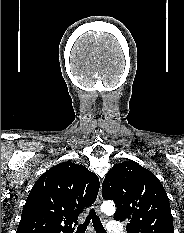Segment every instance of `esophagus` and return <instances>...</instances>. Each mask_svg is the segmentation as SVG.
I'll return each instance as SVG.
<instances>
[{
    "label": "esophagus",
    "mask_w": 184,
    "mask_h": 233,
    "mask_svg": "<svg viewBox=\"0 0 184 233\" xmlns=\"http://www.w3.org/2000/svg\"><path fill=\"white\" fill-rule=\"evenodd\" d=\"M101 201H102V197H101V188H100L96 202H95V209L98 212V214H101V210H100Z\"/></svg>",
    "instance_id": "obj_1"
}]
</instances>
